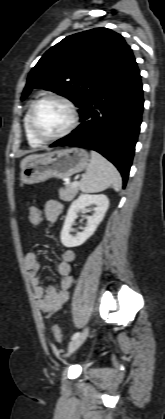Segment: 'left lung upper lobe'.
<instances>
[{"mask_svg": "<svg viewBox=\"0 0 165 419\" xmlns=\"http://www.w3.org/2000/svg\"><path fill=\"white\" fill-rule=\"evenodd\" d=\"M133 58L123 37L106 28L73 34L50 48L29 73L24 100L34 88L51 90L80 109L106 79Z\"/></svg>", "mask_w": 165, "mask_h": 419, "instance_id": "5c2ea615", "label": "left lung upper lobe"}]
</instances>
